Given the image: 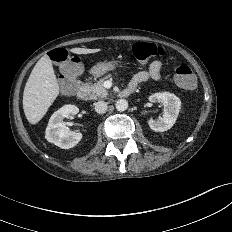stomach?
Wrapping results in <instances>:
<instances>
[{
    "label": "stomach",
    "mask_w": 232,
    "mask_h": 232,
    "mask_svg": "<svg viewBox=\"0 0 232 232\" xmlns=\"http://www.w3.org/2000/svg\"><path fill=\"white\" fill-rule=\"evenodd\" d=\"M117 67H119V62L116 60L102 61L96 63L90 69V73L95 77H100L109 71L115 70Z\"/></svg>",
    "instance_id": "1"
}]
</instances>
